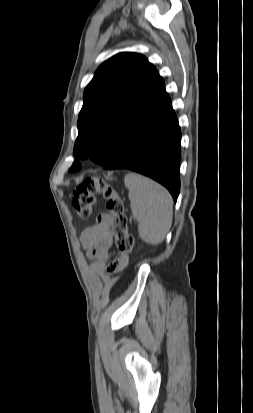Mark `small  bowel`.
<instances>
[{
    "mask_svg": "<svg viewBox=\"0 0 253 413\" xmlns=\"http://www.w3.org/2000/svg\"><path fill=\"white\" fill-rule=\"evenodd\" d=\"M80 239L87 256L93 260V271L109 275L119 272L128 264V259L120 258L110 262L113 236L109 213L99 214L95 224L82 231Z\"/></svg>",
    "mask_w": 253,
    "mask_h": 413,
    "instance_id": "obj_1",
    "label": "small bowel"
}]
</instances>
